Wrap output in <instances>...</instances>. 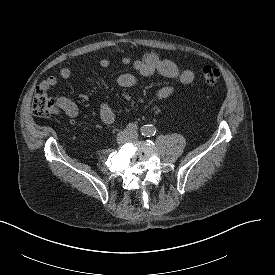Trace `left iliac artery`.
I'll list each match as a JSON object with an SVG mask.
<instances>
[{
  "mask_svg": "<svg viewBox=\"0 0 275 275\" xmlns=\"http://www.w3.org/2000/svg\"><path fill=\"white\" fill-rule=\"evenodd\" d=\"M141 134L145 137H151V136H154L156 134V127L153 126L152 124H149V125H144L142 128H141Z\"/></svg>",
  "mask_w": 275,
  "mask_h": 275,
  "instance_id": "1",
  "label": "left iliac artery"
}]
</instances>
